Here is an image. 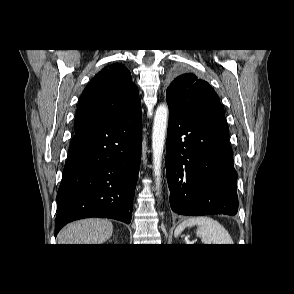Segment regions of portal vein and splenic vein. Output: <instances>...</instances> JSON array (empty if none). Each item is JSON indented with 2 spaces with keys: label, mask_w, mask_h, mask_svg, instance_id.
<instances>
[{
  "label": "portal vein and splenic vein",
  "mask_w": 294,
  "mask_h": 294,
  "mask_svg": "<svg viewBox=\"0 0 294 294\" xmlns=\"http://www.w3.org/2000/svg\"><path fill=\"white\" fill-rule=\"evenodd\" d=\"M195 242H189L188 244H194Z\"/></svg>",
  "instance_id": "18ae733b"
}]
</instances>
